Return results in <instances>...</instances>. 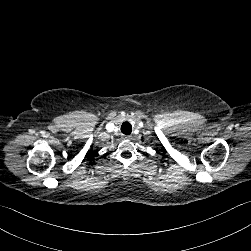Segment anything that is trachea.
Segmentation results:
<instances>
[{"label":"trachea","mask_w":251,"mask_h":251,"mask_svg":"<svg viewBox=\"0 0 251 251\" xmlns=\"http://www.w3.org/2000/svg\"><path fill=\"white\" fill-rule=\"evenodd\" d=\"M121 132L125 135H129L132 132V127L129 122H124L121 126Z\"/></svg>","instance_id":"1"}]
</instances>
